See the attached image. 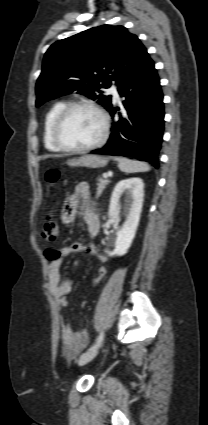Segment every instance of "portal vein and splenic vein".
<instances>
[{
	"label": "portal vein and splenic vein",
	"mask_w": 208,
	"mask_h": 425,
	"mask_svg": "<svg viewBox=\"0 0 208 425\" xmlns=\"http://www.w3.org/2000/svg\"><path fill=\"white\" fill-rule=\"evenodd\" d=\"M109 176H110V175H109V174H107V173H104V174H103V178H105V179H107Z\"/></svg>",
	"instance_id": "portal-vein-and-splenic-vein-1"
}]
</instances>
